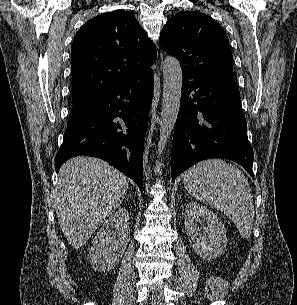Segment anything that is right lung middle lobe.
<instances>
[{
    "label": "right lung middle lobe",
    "instance_id": "right-lung-middle-lobe-1",
    "mask_svg": "<svg viewBox=\"0 0 297 305\" xmlns=\"http://www.w3.org/2000/svg\"><path fill=\"white\" fill-rule=\"evenodd\" d=\"M79 105H80V104H73L72 109H74V108L78 107Z\"/></svg>",
    "mask_w": 297,
    "mask_h": 305
}]
</instances>
